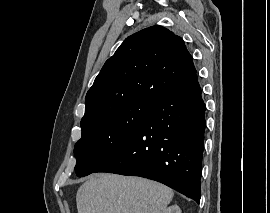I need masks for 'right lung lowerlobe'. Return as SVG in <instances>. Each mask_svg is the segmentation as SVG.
Here are the masks:
<instances>
[{
	"mask_svg": "<svg viewBox=\"0 0 270 213\" xmlns=\"http://www.w3.org/2000/svg\"><path fill=\"white\" fill-rule=\"evenodd\" d=\"M205 109L195 73L159 101L135 134L94 172L152 179L199 203Z\"/></svg>",
	"mask_w": 270,
	"mask_h": 213,
	"instance_id": "1",
	"label": "right lung lower lobe"
}]
</instances>
